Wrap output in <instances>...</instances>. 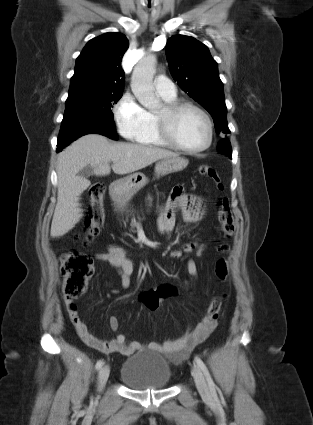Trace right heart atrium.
<instances>
[{"label": "right heart atrium", "instance_id": "d8ad5b80", "mask_svg": "<svg viewBox=\"0 0 313 425\" xmlns=\"http://www.w3.org/2000/svg\"><path fill=\"white\" fill-rule=\"evenodd\" d=\"M113 112L120 134L129 140H138L150 128L149 113L130 93L120 98Z\"/></svg>", "mask_w": 313, "mask_h": 425}]
</instances>
